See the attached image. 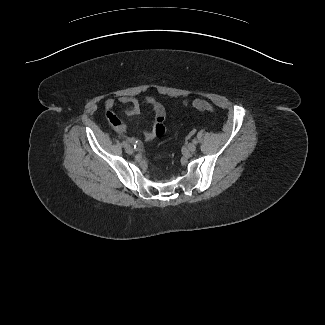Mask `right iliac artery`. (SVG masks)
<instances>
[{
    "label": "right iliac artery",
    "mask_w": 325,
    "mask_h": 325,
    "mask_svg": "<svg viewBox=\"0 0 325 325\" xmlns=\"http://www.w3.org/2000/svg\"><path fill=\"white\" fill-rule=\"evenodd\" d=\"M122 145L125 147L127 145V142L126 141H123L122 142Z\"/></svg>",
    "instance_id": "obj_1"
}]
</instances>
